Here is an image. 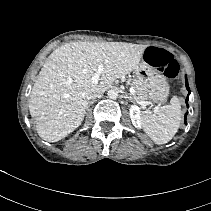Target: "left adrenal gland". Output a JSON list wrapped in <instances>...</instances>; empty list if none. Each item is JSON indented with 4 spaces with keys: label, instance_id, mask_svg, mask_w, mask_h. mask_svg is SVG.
I'll list each match as a JSON object with an SVG mask.
<instances>
[{
    "label": "left adrenal gland",
    "instance_id": "1",
    "mask_svg": "<svg viewBox=\"0 0 211 211\" xmlns=\"http://www.w3.org/2000/svg\"><path fill=\"white\" fill-rule=\"evenodd\" d=\"M125 98L128 99L130 102H135L134 98L130 94H126Z\"/></svg>",
    "mask_w": 211,
    "mask_h": 211
}]
</instances>
